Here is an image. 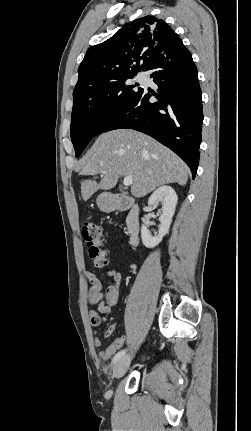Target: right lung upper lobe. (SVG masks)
Masks as SVG:
<instances>
[{"label": "right lung upper lobe", "mask_w": 251, "mask_h": 431, "mask_svg": "<svg viewBox=\"0 0 251 431\" xmlns=\"http://www.w3.org/2000/svg\"><path fill=\"white\" fill-rule=\"evenodd\" d=\"M180 45L178 35L163 20L153 16L136 19L88 49L78 68L73 95L146 71L165 50Z\"/></svg>", "instance_id": "right-lung-upper-lobe-1"}]
</instances>
